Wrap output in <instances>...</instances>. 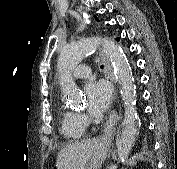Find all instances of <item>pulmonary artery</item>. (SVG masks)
Returning <instances> with one entry per match:
<instances>
[{"label":"pulmonary artery","instance_id":"1","mask_svg":"<svg viewBox=\"0 0 177 169\" xmlns=\"http://www.w3.org/2000/svg\"><path fill=\"white\" fill-rule=\"evenodd\" d=\"M91 75V71L87 65H81L74 71V77L77 80L86 79Z\"/></svg>","mask_w":177,"mask_h":169}]
</instances>
